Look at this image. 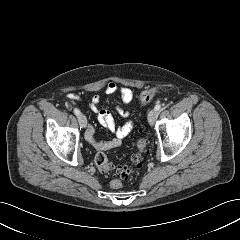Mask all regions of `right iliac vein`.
Wrapping results in <instances>:
<instances>
[{
  "instance_id": "63e3f726",
  "label": "right iliac vein",
  "mask_w": 240,
  "mask_h": 240,
  "mask_svg": "<svg viewBox=\"0 0 240 240\" xmlns=\"http://www.w3.org/2000/svg\"><path fill=\"white\" fill-rule=\"evenodd\" d=\"M78 122L82 128H85L87 126V119H86L85 115L80 114L78 116Z\"/></svg>"
}]
</instances>
